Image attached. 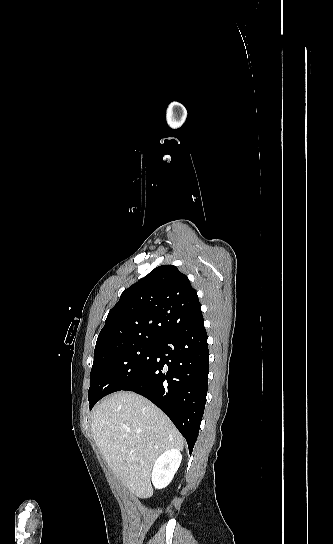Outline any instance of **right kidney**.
Masks as SVG:
<instances>
[{
    "mask_svg": "<svg viewBox=\"0 0 333 544\" xmlns=\"http://www.w3.org/2000/svg\"><path fill=\"white\" fill-rule=\"evenodd\" d=\"M181 461L182 455L177 449L167 450L157 458L152 471V483L156 489H163L169 485Z\"/></svg>",
    "mask_w": 333,
    "mask_h": 544,
    "instance_id": "ca27d5eb",
    "label": "right kidney"
}]
</instances>
